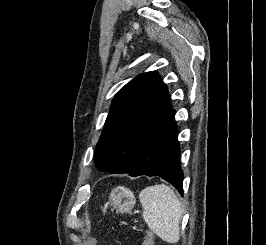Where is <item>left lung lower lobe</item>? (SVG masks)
I'll return each mask as SVG.
<instances>
[{"label":"left lung lower lobe","instance_id":"left-lung-lower-lobe-1","mask_svg":"<svg viewBox=\"0 0 266 245\" xmlns=\"http://www.w3.org/2000/svg\"><path fill=\"white\" fill-rule=\"evenodd\" d=\"M175 111L171 108L141 139L135 158L125 172L130 176H159L170 182L183 195V172L177 141Z\"/></svg>","mask_w":266,"mask_h":245}]
</instances>
